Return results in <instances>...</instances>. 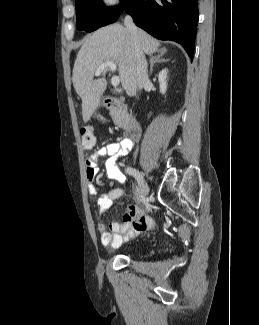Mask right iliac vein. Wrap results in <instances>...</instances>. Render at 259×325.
<instances>
[{
  "mask_svg": "<svg viewBox=\"0 0 259 325\" xmlns=\"http://www.w3.org/2000/svg\"><path fill=\"white\" fill-rule=\"evenodd\" d=\"M140 173V172H139ZM138 179L136 178V180L140 181L139 183L137 182L138 184V193H139V196L141 197V199H145L146 196H147V185H146V182H145V179H144V176L140 173L138 175Z\"/></svg>",
  "mask_w": 259,
  "mask_h": 325,
  "instance_id": "63e3f726",
  "label": "right iliac vein"
}]
</instances>
